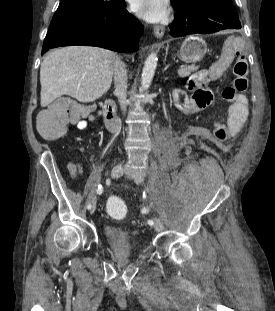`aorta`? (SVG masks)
I'll return each mask as SVG.
<instances>
[{"mask_svg": "<svg viewBox=\"0 0 275 311\" xmlns=\"http://www.w3.org/2000/svg\"><path fill=\"white\" fill-rule=\"evenodd\" d=\"M157 60V54L151 53L145 61L141 78V87L143 90H147L153 80Z\"/></svg>", "mask_w": 275, "mask_h": 311, "instance_id": "762f6f07", "label": "aorta"}]
</instances>
